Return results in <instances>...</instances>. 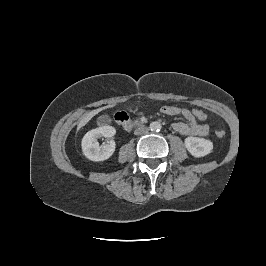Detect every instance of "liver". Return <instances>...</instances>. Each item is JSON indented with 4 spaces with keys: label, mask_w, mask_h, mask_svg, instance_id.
Masks as SVG:
<instances>
[{
    "label": "liver",
    "mask_w": 266,
    "mask_h": 266,
    "mask_svg": "<svg viewBox=\"0 0 266 266\" xmlns=\"http://www.w3.org/2000/svg\"><path fill=\"white\" fill-rule=\"evenodd\" d=\"M115 105H108V106H105V107H101V108H98V109H95V110H92L88 113H86L82 119L80 120L78 126H77V131L80 130L83 126H85L95 115H97L99 112L105 110V109H108V108H111V107H114Z\"/></svg>",
    "instance_id": "1"
}]
</instances>
